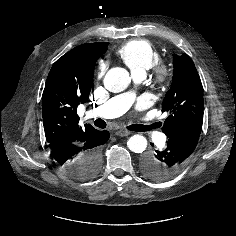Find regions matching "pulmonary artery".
<instances>
[{
  "label": "pulmonary artery",
  "instance_id": "e3ab8cb5",
  "mask_svg": "<svg viewBox=\"0 0 236 236\" xmlns=\"http://www.w3.org/2000/svg\"><path fill=\"white\" fill-rule=\"evenodd\" d=\"M144 77L145 74L143 73L134 74V78L136 80H142ZM135 99L136 96L133 91H126L109 99L106 103L98 107L92 115L102 118H113L120 116L133 106ZM152 124L153 123L148 120L141 121V125L146 127V131L150 133L158 144H165L166 136L158 131H154Z\"/></svg>",
  "mask_w": 236,
  "mask_h": 236
}]
</instances>
